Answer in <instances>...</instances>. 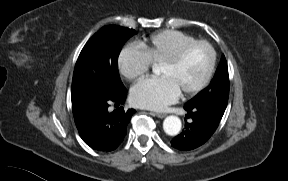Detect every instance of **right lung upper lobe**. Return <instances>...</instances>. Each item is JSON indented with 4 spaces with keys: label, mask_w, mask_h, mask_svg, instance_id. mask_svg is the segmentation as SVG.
I'll list each match as a JSON object with an SVG mask.
<instances>
[{
    "label": "right lung upper lobe",
    "mask_w": 288,
    "mask_h": 181,
    "mask_svg": "<svg viewBox=\"0 0 288 181\" xmlns=\"http://www.w3.org/2000/svg\"><path fill=\"white\" fill-rule=\"evenodd\" d=\"M87 111H88L87 109H84L79 112H75V113L73 112L76 126H80L82 124V122L87 116Z\"/></svg>",
    "instance_id": "1"
}]
</instances>
